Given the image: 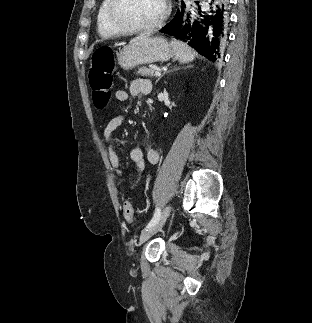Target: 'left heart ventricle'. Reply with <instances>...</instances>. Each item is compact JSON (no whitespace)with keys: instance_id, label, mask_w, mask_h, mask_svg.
I'll use <instances>...</instances> for the list:
<instances>
[{"instance_id":"left-heart-ventricle-1","label":"left heart ventricle","mask_w":312,"mask_h":323,"mask_svg":"<svg viewBox=\"0 0 312 323\" xmlns=\"http://www.w3.org/2000/svg\"><path fill=\"white\" fill-rule=\"evenodd\" d=\"M114 12L129 22H148L149 18L163 14V0H117Z\"/></svg>"}]
</instances>
